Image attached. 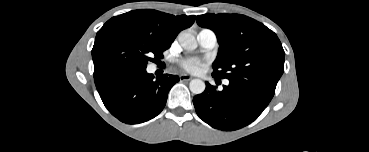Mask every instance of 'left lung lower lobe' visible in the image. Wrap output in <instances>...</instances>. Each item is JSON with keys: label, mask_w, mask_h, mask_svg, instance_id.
Returning <instances> with one entry per match:
<instances>
[{"label": "left lung lower lobe", "mask_w": 369, "mask_h": 152, "mask_svg": "<svg viewBox=\"0 0 369 152\" xmlns=\"http://www.w3.org/2000/svg\"><path fill=\"white\" fill-rule=\"evenodd\" d=\"M275 88L266 83L229 80L228 86L217 91L207 82L205 91L193 98V104L204 122L213 128L232 131L253 122L268 106Z\"/></svg>", "instance_id": "obj_1"}]
</instances>
